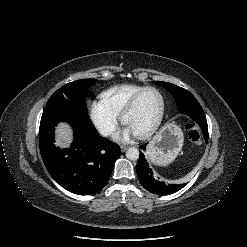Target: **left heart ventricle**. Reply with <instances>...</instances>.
<instances>
[{"label":"left heart ventricle","mask_w":247,"mask_h":247,"mask_svg":"<svg viewBox=\"0 0 247 247\" xmlns=\"http://www.w3.org/2000/svg\"><path fill=\"white\" fill-rule=\"evenodd\" d=\"M161 110V99L154 91L144 93L137 105L130 112L125 124L137 134L148 129L158 118Z\"/></svg>","instance_id":"obj_1"}]
</instances>
